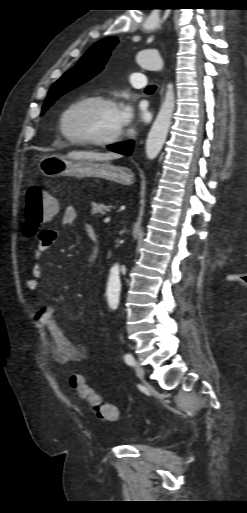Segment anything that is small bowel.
I'll use <instances>...</instances> for the list:
<instances>
[{
	"mask_svg": "<svg viewBox=\"0 0 247 513\" xmlns=\"http://www.w3.org/2000/svg\"><path fill=\"white\" fill-rule=\"evenodd\" d=\"M77 210L73 206H67L62 214L61 223L69 225L76 221ZM87 236L94 238V232L88 224H83ZM59 238V232L53 228H43L37 235V247L35 257L40 260L43 253L49 249ZM43 275V267L36 262L29 271V278L26 281L28 291H37L40 287V279ZM35 319L48 332L51 345L50 351L53 359L61 365H73L83 362L87 358V349L80 342L72 341L58 323L57 308L39 301L35 310Z\"/></svg>",
	"mask_w": 247,
	"mask_h": 513,
	"instance_id": "1",
	"label": "small bowel"
}]
</instances>
